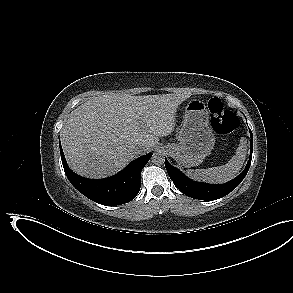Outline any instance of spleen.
I'll use <instances>...</instances> for the list:
<instances>
[{"label":"spleen","mask_w":293,"mask_h":293,"mask_svg":"<svg viewBox=\"0 0 293 293\" xmlns=\"http://www.w3.org/2000/svg\"><path fill=\"white\" fill-rule=\"evenodd\" d=\"M246 143V138L242 137L236 154L227 164L208 169H188L187 174L195 180L216 184L225 183L233 179L243 166L247 151Z\"/></svg>","instance_id":"3e777b00"}]
</instances>
